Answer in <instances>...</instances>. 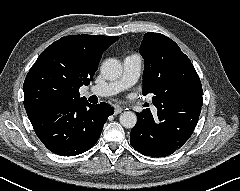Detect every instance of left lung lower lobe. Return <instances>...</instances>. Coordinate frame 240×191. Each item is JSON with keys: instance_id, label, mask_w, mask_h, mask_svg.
Masks as SVG:
<instances>
[{"instance_id": "left-lung-lower-lobe-1", "label": "left lung lower lobe", "mask_w": 240, "mask_h": 191, "mask_svg": "<svg viewBox=\"0 0 240 191\" xmlns=\"http://www.w3.org/2000/svg\"><path fill=\"white\" fill-rule=\"evenodd\" d=\"M201 103L185 98L170 109H160L153 116L150 109L137 114V124L130 133V143L140 153L164 157L179 149L192 135L198 122Z\"/></svg>"}]
</instances>
